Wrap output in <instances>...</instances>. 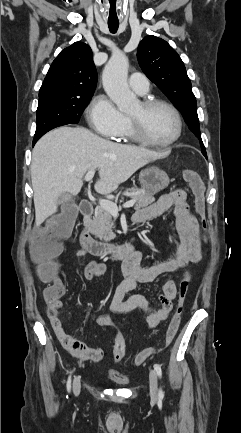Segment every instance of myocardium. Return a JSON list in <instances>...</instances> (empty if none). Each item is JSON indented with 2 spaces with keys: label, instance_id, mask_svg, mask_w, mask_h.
Here are the masks:
<instances>
[{
  "label": "myocardium",
  "instance_id": "obj_1",
  "mask_svg": "<svg viewBox=\"0 0 241 433\" xmlns=\"http://www.w3.org/2000/svg\"><path fill=\"white\" fill-rule=\"evenodd\" d=\"M140 103L145 110H151L159 106L168 108L175 116L176 123H177V131L174 137L169 141L157 142L152 140L150 137H148L140 122H138L133 117L129 116L128 119H129L130 128L135 139L145 145H149L153 147H168L176 143L181 137L182 130H183V122L178 109L173 104L161 99H145Z\"/></svg>",
  "mask_w": 241,
  "mask_h": 433
}]
</instances>
